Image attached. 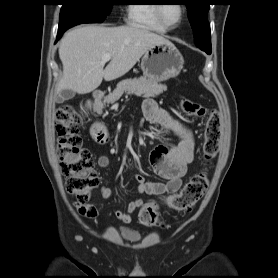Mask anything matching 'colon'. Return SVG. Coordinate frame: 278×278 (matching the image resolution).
Instances as JSON below:
<instances>
[{
    "mask_svg": "<svg viewBox=\"0 0 278 278\" xmlns=\"http://www.w3.org/2000/svg\"><path fill=\"white\" fill-rule=\"evenodd\" d=\"M182 111L192 117H206L204 130L203 157L210 163L217 155L221 139V117L218 111L189 99L181 101ZM83 114L73 105L60 106L55 113L57 132V154L61 172L66 178V190L76 198V203L86 204L91 190L98 184L95 162L89 150L82 147L79 126ZM208 187L206 172L192 176L181 191L165 200L166 205L179 212L191 211L203 197ZM142 225L152 227L161 225L160 211L156 204H148L139 212Z\"/></svg>",
    "mask_w": 278,
    "mask_h": 278,
    "instance_id": "colon-1",
    "label": "colon"
}]
</instances>
